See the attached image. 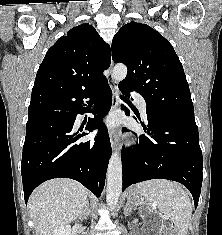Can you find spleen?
Wrapping results in <instances>:
<instances>
[{
	"label": "spleen",
	"instance_id": "obj_1",
	"mask_svg": "<svg viewBox=\"0 0 222 235\" xmlns=\"http://www.w3.org/2000/svg\"><path fill=\"white\" fill-rule=\"evenodd\" d=\"M136 191L144 200L158 205L159 211L174 222L178 235H187L192 204L178 183L164 179L149 180L139 183Z\"/></svg>",
	"mask_w": 222,
	"mask_h": 235
}]
</instances>
